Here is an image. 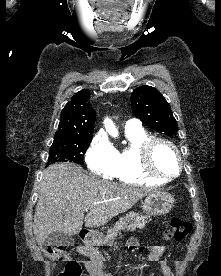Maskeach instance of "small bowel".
I'll list each match as a JSON object with an SVG mask.
<instances>
[{
  "instance_id": "c3829d8e",
  "label": "small bowel",
  "mask_w": 221,
  "mask_h": 276,
  "mask_svg": "<svg viewBox=\"0 0 221 276\" xmlns=\"http://www.w3.org/2000/svg\"><path fill=\"white\" fill-rule=\"evenodd\" d=\"M131 246H137L136 240L130 242ZM80 254L86 257L84 265L91 276H113L108 272L105 258L94 248L80 247ZM165 247L152 245L146 252V260L149 262H159L163 276H175L167 261L163 259ZM130 276H140V270L135 269L130 272Z\"/></svg>"
}]
</instances>
